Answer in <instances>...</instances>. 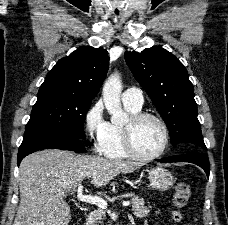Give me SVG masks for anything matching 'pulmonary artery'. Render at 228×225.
<instances>
[{"instance_id":"pulmonary-artery-1","label":"pulmonary artery","mask_w":228,"mask_h":225,"mask_svg":"<svg viewBox=\"0 0 228 225\" xmlns=\"http://www.w3.org/2000/svg\"><path fill=\"white\" fill-rule=\"evenodd\" d=\"M122 102L124 105L139 109L144 104V97L139 89H128L122 93Z\"/></svg>"}]
</instances>
